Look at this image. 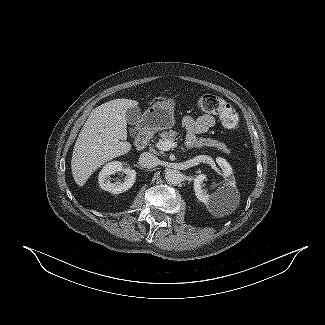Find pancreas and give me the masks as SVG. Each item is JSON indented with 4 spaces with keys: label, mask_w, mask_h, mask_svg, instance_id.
I'll use <instances>...</instances> for the list:
<instances>
[{
    "label": "pancreas",
    "mask_w": 325,
    "mask_h": 325,
    "mask_svg": "<svg viewBox=\"0 0 325 325\" xmlns=\"http://www.w3.org/2000/svg\"><path fill=\"white\" fill-rule=\"evenodd\" d=\"M161 137L162 141H175L179 139L178 133L174 130H169V131H163L162 133L159 134ZM196 146L197 147H215L217 150L222 151L226 154L230 153V150L227 148V146L218 140L211 139V138H203L200 137L196 140Z\"/></svg>",
    "instance_id": "obj_1"
}]
</instances>
